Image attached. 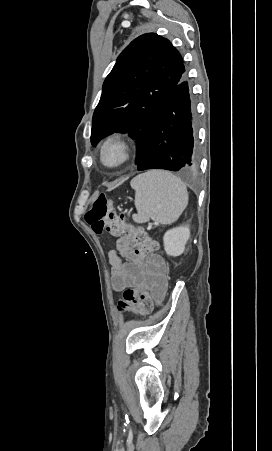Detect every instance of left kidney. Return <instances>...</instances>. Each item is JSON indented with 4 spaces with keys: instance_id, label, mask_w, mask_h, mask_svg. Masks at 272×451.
<instances>
[{
    "instance_id": "obj_1",
    "label": "left kidney",
    "mask_w": 272,
    "mask_h": 451,
    "mask_svg": "<svg viewBox=\"0 0 272 451\" xmlns=\"http://www.w3.org/2000/svg\"><path fill=\"white\" fill-rule=\"evenodd\" d=\"M190 237L189 226L173 227L166 231L163 241L164 249L168 255H181L185 249V243H187Z\"/></svg>"
}]
</instances>
